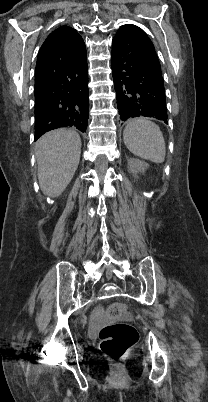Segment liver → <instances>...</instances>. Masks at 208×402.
<instances>
[{
    "label": "liver",
    "instance_id": "liver-1",
    "mask_svg": "<svg viewBox=\"0 0 208 402\" xmlns=\"http://www.w3.org/2000/svg\"><path fill=\"white\" fill-rule=\"evenodd\" d=\"M81 138L73 130H53L36 142L38 180L45 196L58 198L80 162Z\"/></svg>",
    "mask_w": 208,
    "mask_h": 402
}]
</instances>
